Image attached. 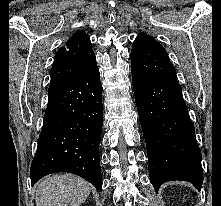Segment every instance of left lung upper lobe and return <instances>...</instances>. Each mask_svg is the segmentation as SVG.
Segmentation results:
<instances>
[{
  "instance_id": "1",
  "label": "left lung upper lobe",
  "mask_w": 221,
  "mask_h": 206,
  "mask_svg": "<svg viewBox=\"0 0 221 206\" xmlns=\"http://www.w3.org/2000/svg\"><path fill=\"white\" fill-rule=\"evenodd\" d=\"M131 69L139 75L177 82L166 50L152 37L140 33L131 50Z\"/></svg>"
}]
</instances>
